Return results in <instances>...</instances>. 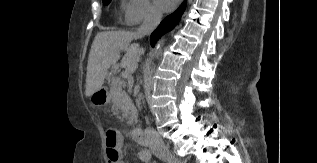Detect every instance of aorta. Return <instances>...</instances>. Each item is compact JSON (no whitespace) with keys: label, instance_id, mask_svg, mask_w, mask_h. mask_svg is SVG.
Returning <instances> with one entry per match:
<instances>
[{"label":"aorta","instance_id":"aorta-1","mask_svg":"<svg viewBox=\"0 0 317 163\" xmlns=\"http://www.w3.org/2000/svg\"><path fill=\"white\" fill-rule=\"evenodd\" d=\"M164 42H165V39H163V38L159 40L157 46L153 50V54H152L153 58H155L158 55L161 47L164 45Z\"/></svg>","mask_w":317,"mask_h":163}]
</instances>
